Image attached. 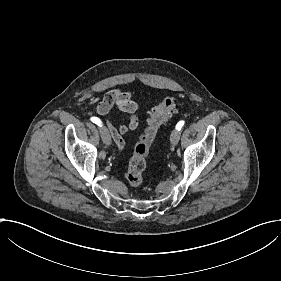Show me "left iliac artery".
<instances>
[{
	"label": "left iliac artery",
	"instance_id": "1",
	"mask_svg": "<svg viewBox=\"0 0 281 281\" xmlns=\"http://www.w3.org/2000/svg\"><path fill=\"white\" fill-rule=\"evenodd\" d=\"M183 125H184V121H179V122L177 123V125H176V129H177L178 131H180Z\"/></svg>",
	"mask_w": 281,
	"mask_h": 281
}]
</instances>
